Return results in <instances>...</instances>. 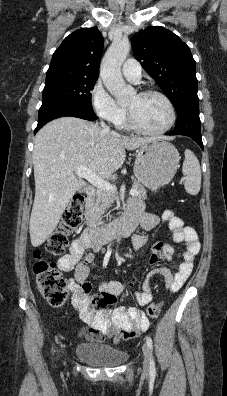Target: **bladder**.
<instances>
[{
    "label": "bladder",
    "instance_id": "31cf9c89",
    "mask_svg": "<svg viewBox=\"0 0 227 396\" xmlns=\"http://www.w3.org/2000/svg\"><path fill=\"white\" fill-rule=\"evenodd\" d=\"M75 355L82 361L96 367H116L128 359V353L95 342L76 345Z\"/></svg>",
    "mask_w": 227,
    "mask_h": 396
}]
</instances>
